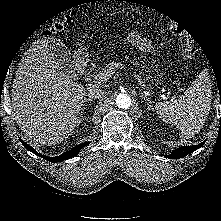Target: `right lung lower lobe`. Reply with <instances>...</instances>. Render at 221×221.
<instances>
[{"label":"right lung lower lobe","instance_id":"obj_1","mask_svg":"<svg viewBox=\"0 0 221 221\" xmlns=\"http://www.w3.org/2000/svg\"><path fill=\"white\" fill-rule=\"evenodd\" d=\"M20 141H21V143L24 145V147H25L27 150L33 152L34 154H36V155H38V156H40V157H42V158H44V159H46V160H48V161L54 162V163H55V162L64 161V160H66V159H69V158H71V157L77 155V154L80 152V150H81L84 146H86V145L88 144L87 142H84V143H82V144H79V145L75 146V147L72 148L71 150H69V151H67V152H65V153H63V154H61V155H59V156H56V157H48V156L41 155V154H39L38 152H36L32 147H30L28 144H26L22 139H20Z\"/></svg>","mask_w":221,"mask_h":221}]
</instances>
